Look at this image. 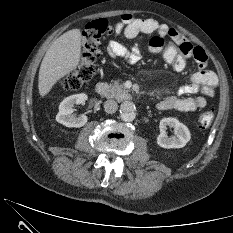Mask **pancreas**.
<instances>
[{
	"label": "pancreas",
	"instance_id": "cf45deb5",
	"mask_svg": "<svg viewBox=\"0 0 233 233\" xmlns=\"http://www.w3.org/2000/svg\"><path fill=\"white\" fill-rule=\"evenodd\" d=\"M128 90L125 88L124 84L114 81L110 84V93L112 97L118 96L121 93H127Z\"/></svg>",
	"mask_w": 233,
	"mask_h": 233
}]
</instances>
